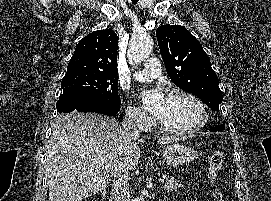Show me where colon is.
I'll use <instances>...</instances> for the list:
<instances>
[{"instance_id":"1","label":"colon","mask_w":271,"mask_h":201,"mask_svg":"<svg viewBox=\"0 0 271 201\" xmlns=\"http://www.w3.org/2000/svg\"><path fill=\"white\" fill-rule=\"evenodd\" d=\"M224 162V152L222 148L214 149L209 158L208 175L211 182H213L220 172ZM216 201H221L220 197H216Z\"/></svg>"}]
</instances>
